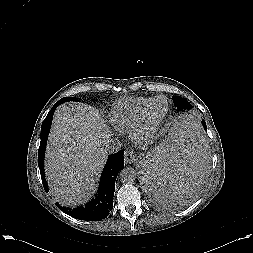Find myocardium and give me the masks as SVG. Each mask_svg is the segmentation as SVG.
I'll return each mask as SVG.
<instances>
[{
	"label": "myocardium",
	"instance_id": "myocardium-1",
	"mask_svg": "<svg viewBox=\"0 0 253 253\" xmlns=\"http://www.w3.org/2000/svg\"><path fill=\"white\" fill-rule=\"evenodd\" d=\"M160 98L165 99V101L167 103L166 111L160 119H158L156 121H152L149 118L150 108H151L152 104L157 99H160ZM169 112H170V104H169L166 97L159 95V96H155V97L151 98L148 101V103L144 106V108L141 112L138 122L134 128V135L138 138H143L145 136L155 133L162 126V124L165 122L166 118L168 117Z\"/></svg>",
	"mask_w": 253,
	"mask_h": 253
}]
</instances>
